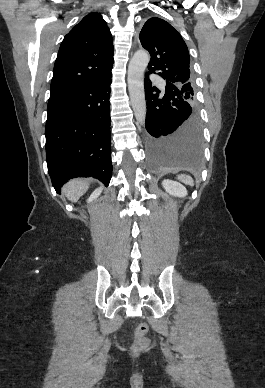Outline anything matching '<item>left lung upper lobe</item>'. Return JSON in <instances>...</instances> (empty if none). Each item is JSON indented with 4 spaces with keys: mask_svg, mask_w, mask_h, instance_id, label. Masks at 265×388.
<instances>
[{
    "mask_svg": "<svg viewBox=\"0 0 265 388\" xmlns=\"http://www.w3.org/2000/svg\"><path fill=\"white\" fill-rule=\"evenodd\" d=\"M139 39L151 55L149 73L159 71L166 83L175 85L184 101L195 107L189 52L179 32L163 19L152 17L144 24Z\"/></svg>",
    "mask_w": 265,
    "mask_h": 388,
    "instance_id": "left-lung-upper-lobe-1",
    "label": "left lung upper lobe"
}]
</instances>
